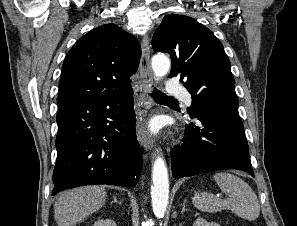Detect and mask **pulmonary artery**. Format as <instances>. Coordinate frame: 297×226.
Segmentation results:
<instances>
[{
	"instance_id": "pulmonary-artery-1",
	"label": "pulmonary artery",
	"mask_w": 297,
	"mask_h": 226,
	"mask_svg": "<svg viewBox=\"0 0 297 226\" xmlns=\"http://www.w3.org/2000/svg\"><path fill=\"white\" fill-rule=\"evenodd\" d=\"M167 92L175 98L182 99L187 103H191V95L188 90L182 86H179L175 83L173 79L168 80Z\"/></svg>"
}]
</instances>
